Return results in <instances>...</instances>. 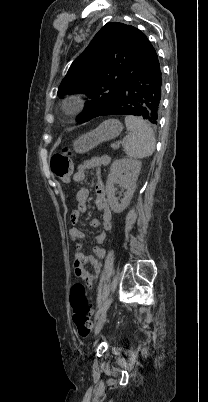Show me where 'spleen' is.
I'll use <instances>...</instances> for the list:
<instances>
[{"instance_id": "spleen-1", "label": "spleen", "mask_w": 208, "mask_h": 402, "mask_svg": "<svg viewBox=\"0 0 208 402\" xmlns=\"http://www.w3.org/2000/svg\"><path fill=\"white\" fill-rule=\"evenodd\" d=\"M125 126L128 132H131L124 144V152L128 158L152 156L155 150V136L145 120L136 116H126Z\"/></svg>"}]
</instances>
